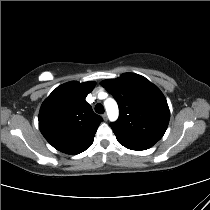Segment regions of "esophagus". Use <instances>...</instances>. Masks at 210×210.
Returning <instances> with one entry per match:
<instances>
[{"label": "esophagus", "instance_id": "obj_1", "mask_svg": "<svg viewBox=\"0 0 210 210\" xmlns=\"http://www.w3.org/2000/svg\"><path fill=\"white\" fill-rule=\"evenodd\" d=\"M102 118H103V120H104V121H107V120H108V116H107V114H106V113H104V114L102 115Z\"/></svg>", "mask_w": 210, "mask_h": 210}]
</instances>
